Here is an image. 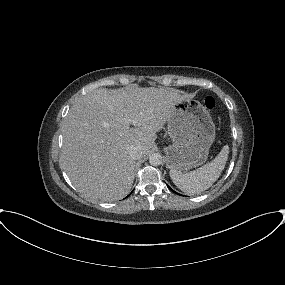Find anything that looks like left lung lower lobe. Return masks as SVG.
Returning <instances> with one entry per match:
<instances>
[{
  "mask_svg": "<svg viewBox=\"0 0 285 285\" xmlns=\"http://www.w3.org/2000/svg\"><path fill=\"white\" fill-rule=\"evenodd\" d=\"M168 188L171 190V191H173L169 186H168ZM174 192V191H173ZM176 193V192H175Z\"/></svg>",
  "mask_w": 285,
  "mask_h": 285,
  "instance_id": "0a47b994",
  "label": "left lung lower lobe"
}]
</instances>
